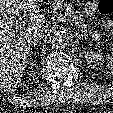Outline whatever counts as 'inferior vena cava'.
I'll use <instances>...</instances> for the list:
<instances>
[{"mask_svg": "<svg viewBox=\"0 0 113 113\" xmlns=\"http://www.w3.org/2000/svg\"><path fill=\"white\" fill-rule=\"evenodd\" d=\"M47 29H48V25H45V24L35 27L33 29V38L43 37Z\"/></svg>", "mask_w": 113, "mask_h": 113, "instance_id": "602c4592", "label": "inferior vena cava"}]
</instances>
